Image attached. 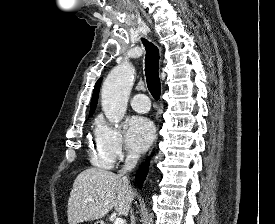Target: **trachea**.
<instances>
[{
	"label": "trachea",
	"instance_id": "obj_1",
	"mask_svg": "<svg viewBox=\"0 0 275 224\" xmlns=\"http://www.w3.org/2000/svg\"><path fill=\"white\" fill-rule=\"evenodd\" d=\"M146 48L145 76L148 89L156 100L160 99L161 83L159 78V50L151 42L142 39Z\"/></svg>",
	"mask_w": 275,
	"mask_h": 224
}]
</instances>
